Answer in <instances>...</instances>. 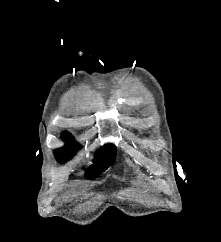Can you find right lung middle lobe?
<instances>
[{
	"instance_id": "obj_1",
	"label": "right lung middle lobe",
	"mask_w": 221,
	"mask_h": 242,
	"mask_svg": "<svg viewBox=\"0 0 221 242\" xmlns=\"http://www.w3.org/2000/svg\"><path fill=\"white\" fill-rule=\"evenodd\" d=\"M63 140L66 142V146L54 151L55 157L60 163H65L73 155L80 145L74 141L70 135H62ZM116 157V147L112 144H106L99 151H97L94 164L86 170V177L89 180H93L110 167Z\"/></svg>"
}]
</instances>
